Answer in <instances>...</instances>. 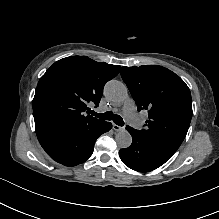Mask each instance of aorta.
Wrapping results in <instances>:
<instances>
[{
	"instance_id": "762f6f07",
	"label": "aorta",
	"mask_w": 219,
	"mask_h": 219,
	"mask_svg": "<svg viewBox=\"0 0 219 219\" xmlns=\"http://www.w3.org/2000/svg\"><path fill=\"white\" fill-rule=\"evenodd\" d=\"M104 94L111 101L123 102L128 96V89L121 81L111 80L105 85ZM115 141L118 147L128 148L132 144V136L128 131H120Z\"/></svg>"
}]
</instances>
